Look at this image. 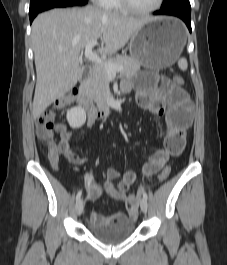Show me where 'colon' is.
I'll list each match as a JSON object with an SVG mask.
<instances>
[{
    "label": "colon",
    "mask_w": 227,
    "mask_h": 265,
    "mask_svg": "<svg viewBox=\"0 0 227 265\" xmlns=\"http://www.w3.org/2000/svg\"><path fill=\"white\" fill-rule=\"evenodd\" d=\"M174 84L177 86L184 84V79L180 75H175L173 77ZM74 101L73 94H66L58 98L54 104L43 111L37 118L36 129H37V136L39 140L46 143L48 148H52L54 146V130H55V116L56 113ZM171 173V167L166 166L158 175V180L160 182L165 181ZM129 203L132 208H135L138 203V196L137 195H130L129 196Z\"/></svg>",
    "instance_id": "5ec220e1"
}]
</instances>
